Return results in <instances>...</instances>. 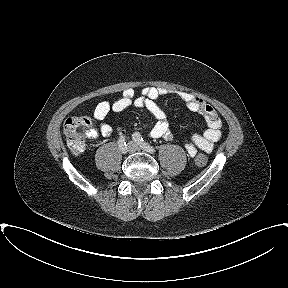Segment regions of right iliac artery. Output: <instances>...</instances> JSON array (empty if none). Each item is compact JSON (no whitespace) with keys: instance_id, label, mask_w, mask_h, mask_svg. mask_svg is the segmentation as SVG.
<instances>
[{"instance_id":"1","label":"right iliac artery","mask_w":288,"mask_h":288,"mask_svg":"<svg viewBox=\"0 0 288 288\" xmlns=\"http://www.w3.org/2000/svg\"><path fill=\"white\" fill-rule=\"evenodd\" d=\"M118 145L121 151H123L126 148V142H125V137L121 136L118 140Z\"/></svg>"}]
</instances>
